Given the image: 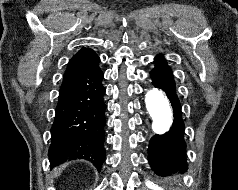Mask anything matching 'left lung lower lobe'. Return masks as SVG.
Here are the masks:
<instances>
[{
    "label": "left lung lower lobe",
    "mask_w": 238,
    "mask_h": 190,
    "mask_svg": "<svg viewBox=\"0 0 238 190\" xmlns=\"http://www.w3.org/2000/svg\"><path fill=\"white\" fill-rule=\"evenodd\" d=\"M153 85L162 89L169 98L174 121L168 132L155 135L151 138L148 152L149 163L158 175L172 171H186V143L184 141V122L182 119L181 104L176 94V85L172 70L160 54L155 57V67L150 72Z\"/></svg>",
    "instance_id": "left-lung-lower-lobe-1"
}]
</instances>
